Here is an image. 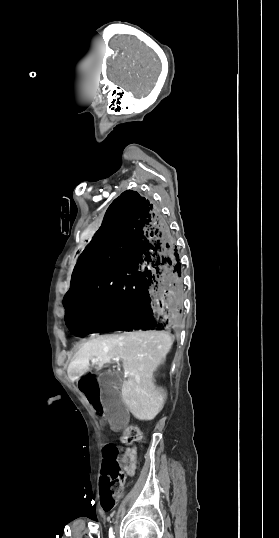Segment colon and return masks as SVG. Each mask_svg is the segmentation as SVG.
Wrapping results in <instances>:
<instances>
[{
	"label": "colon",
	"instance_id": "colon-1",
	"mask_svg": "<svg viewBox=\"0 0 279 538\" xmlns=\"http://www.w3.org/2000/svg\"><path fill=\"white\" fill-rule=\"evenodd\" d=\"M142 441V433L134 425L127 426L122 433V442L135 445ZM102 474L100 480V495L102 506L111 510L124 487L125 475L117 467L119 452L116 446L107 444L103 447Z\"/></svg>",
	"mask_w": 279,
	"mask_h": 538
}]
</instances>
